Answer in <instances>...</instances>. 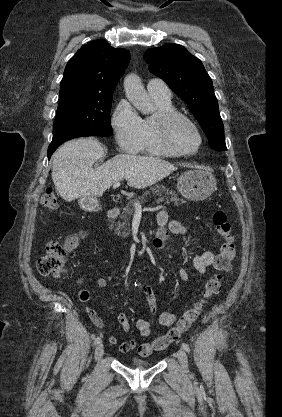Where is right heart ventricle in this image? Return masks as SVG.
I'll list each match as a JSON object with an SVG mask.
<instances>
[{
	"label": "right heart ventricle",
	"mask_w": 282,
	"mask_h": 417,
	"mask_svg": "<svg viewBox=\"0 0 282 417\" xmlns=\"http://www.w3.org/2000/svg\"><path fill=\"white\" fill-rule=\"evenodd\" d=\"M157 111L174 110L172 103L169 101L153 98ZM154 116V115H153ZM153 116L141 118L143 128V147L142 150L155 154L171 155L170 152L161 142L158 133L153 125Z\"/></svg>",
	"instance_id": "1"
}]
</instances>
